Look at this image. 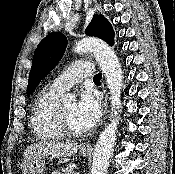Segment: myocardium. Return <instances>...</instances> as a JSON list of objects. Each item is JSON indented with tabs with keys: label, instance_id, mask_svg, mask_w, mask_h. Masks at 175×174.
I'll return each instance as SVG.
<instances>
[{
	"label": "myocardium",
	"instance_id": "obj_1",
	"mask_svg": "<svg viewBox=\"0 0 175 174\" xmlns=\"http://www.w3.org/2000/svg\"><path fill=\"white\" fill-rule=\"evenodd\" d=\"M58 123L60 126V129L64 136L69 138H79L86 134V131H75L72 129L64 115L63 108L59 107L58 110Z\"/></svg>",
	"mask_w": 175,
	"mask_h": 174
}]
</instances>
